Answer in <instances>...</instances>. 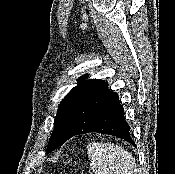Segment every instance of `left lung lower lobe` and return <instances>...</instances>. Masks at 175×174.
Instances as JSON below:
<instances>
[{
	"label": "left lung lower lobe",
	"mask_w": 175,
	"mask_h": 174,
	"mask_svg": "<svg viewBox=\"0 0 175 174\" xmlns=\"http://www.w3.org/2000/svg\"><path fill=\"white\" fill-rule=\"evenodd\" d=\"M129 131L118 94L109 90L107 82H102L76 105L66 126L63 143L75 135L97 132L114 135L135 146Z\"/></svg>",
	"instance_id": "obj_1"
}]
</instances>
